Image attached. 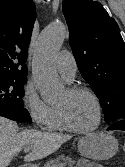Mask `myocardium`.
Returning <instances> with one entry per match:
<instances>
[{"label":"myocardium","mask_w":125,"mask_h":167,"mask_svg":"<svg viewBox=\"0 0 125 167\" xmlns=\"http://www.w3.org/2000/svg\"><path fill=\"white\" fill-rule=\"evenodd\" d=\"M67 92L71 96L81 94V93L89 95L94 100V102L96 104L98 117H97L96 123L93 126L85 128V129L77 128L76 126H74L71 123L65 110L59 106H56V109L59 113L61 122H62L63 126L65 127V129H67L71 132H74V133H78V134L90 133V132H93L96 129H98L99 126L101 125V122H102L103 109H102L101 101H100L99 97L97 96V94L92 89H90L86 86H82V85L71 86L67 89Z\"/></svg>","instance_id":"obj_1"}]
</instances>
